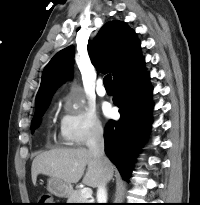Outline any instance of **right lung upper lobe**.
<instances>
[{"label": "right lung upper lobe", "mask_w": 200, "mask_h": 205, "mask_svg": "<svg viewBox=\"0 0 200 205\" xmlns=\"http://www.w3.org/2000/svg\"><path fill=\"white\" fill-rule=\"evenodd\" d=\"M92 64L98 72H111L113 82L126 75L144 58L135 32L125 22L110 21L102 26L96 40L87 46ZM74 50L67 47L58 52L46 65L36 97V106L51 99L57 87L72 72ZM107 64L108 67L102 65Z\"/></svg>", "instance_id": "right-lung-upper-lobe-1"}]
</instances>
